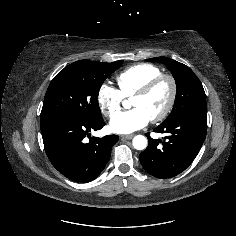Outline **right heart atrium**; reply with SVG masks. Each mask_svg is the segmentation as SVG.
Masks as SVG:
<instances>
[{
    "label": "right heart atrium",
    "mask_w": 236,
    "mask_h": 236,
    "mask_svg": "<svg viewBox=\"0 0 236 236\" xmlns=\"http://www.w3.org/2000/svg\"><path fill=\"white\" fill-rule=\"evenodd\" d=\"M124 97L121 92L110 84H102L97 92V102L106 117H113L121 108Z\"/></svg>",
    "instance_id": "obj_1"
}]
</instances>
